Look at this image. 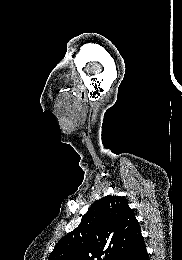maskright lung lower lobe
I'll list each match as a JSON object with an SVG mask.
<instances>
[{"instance_id":"98d812e1","label":"right lung lower lobe","mask_w":182,"mask_h":260,"mask_svg":"<svg viewBox=\"0 0 182 260\" xmlns=\"http://www.w3.org/2000/svg\"><path fill=\"white\" fill-rule=\"evenodd\" d=\"M119 260H149L144 240L120 257Z\"/></svg>"}]
</instances>
